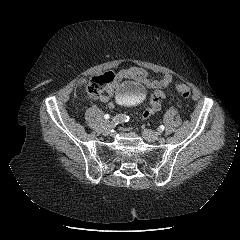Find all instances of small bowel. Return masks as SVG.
Here are the masks:
<instances>
[{
  "label": "small bowel",
  "instance_id": "1",
  "mask_svg": "<svg viewBox=\"0 0 240 240\" xmlns=\"http://www.w3.org/2000/svg\"><path fill=\"white\" fill-rule=\"evenodd\" d=\"M113 80L107 85V95H101L97 97L100 101L106 102L110 110H113L116 106V101L114 99H109L113 97L117 91L118 84L123 79H134L145 84L148 88L154 90L149 106L143 112V118H148L153 113L158 111L161 107L162 101L165 99V94L162 91L172 82V76L170 74H165L159 79H152L149 77L147 71L139 67H130L122 69L117 73L113 74Z\"/></svg>",
  "mask_w": 240,
  "mask_h": 240
}]
</instances>
